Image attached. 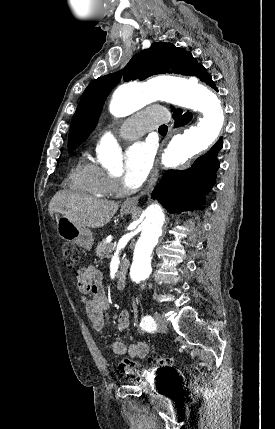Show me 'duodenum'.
Wrapping results in <instances>:
<instances>
[{"mask_svg":"<svg viewBox=\"0 0 275 429\" xmlns=\"http://www.w3.org/2000/svg\"><path fill=\"white\" fill-rule=\"evenodd\" d=\"M126 271H127L126 264L123 263L120 266L116 277V286L119 290L124 289L126 285Z\"/></svg>","mask_w":275,"mask_h":429,"instance_id":"1","label":"duodenum"}]
</instances>
